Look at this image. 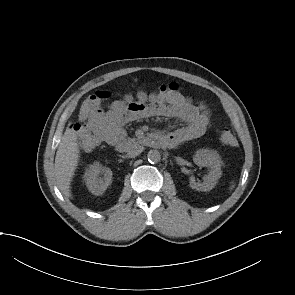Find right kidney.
Returning <instances> with one entry per match:
<instances>
[{
    "mask_svg": "<svg viewBox=\"0 0 295 295\" xmlns=\"http://www.w3.org/2000/svg\"><path fill=\"white\" fill-rule=\"evenodd\" d=\"M84 180L92 194L102 195L111 183L112 171L107 167H102L99 162H95L86 169Z\"/></svg>",
    "mask_w": 295,
    "mask_h": 295,
    "instance_id": "obj_1",
    "label": "right kidney"
}]
</instances>
